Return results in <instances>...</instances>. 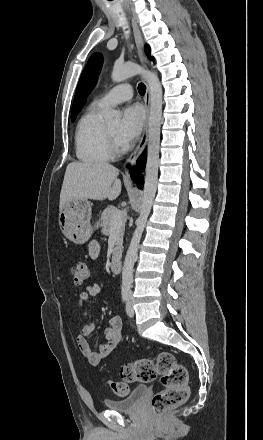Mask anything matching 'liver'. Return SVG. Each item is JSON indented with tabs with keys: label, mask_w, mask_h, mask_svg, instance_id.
Wrapping results in <instances>:
<instances>
[{
	"label": "liver",
	"mask_w": 263,
	"mask_h": 440,
	"mask_svg": "<svg viewBox=\"0 0 263 440\" xmlns=\"http://www.w3.org/2000/svg\"><path fill=\"white\" fill-rule=\"evenodd\" d=\"M119 170L107 162H72L64 175L59 210L73 199L115 200L121 193Z\"/></svg>",
	"instance_id": "obj_1"
}]
</instances>
